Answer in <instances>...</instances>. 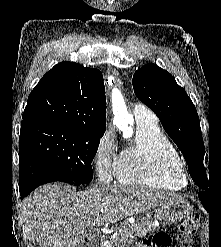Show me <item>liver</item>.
<instances>
[{"instance_id": "liver-1", "label": "liver", "mask_w": 221, "mask_h": 247, "mask_svg": "<svg viewBox=\"0 0 221 247\" xmlns=\"http://www.w3.org/2000/svg\"><path fill=\"white\" fill-rule=\"evenodd\" d=\"M175 193L143 187L101 186L76 191L66 184L44 185L22 203L26 225L40 247H76L87 237V228L119 222L147 212Z\"/></svg>"}]
</instances>
